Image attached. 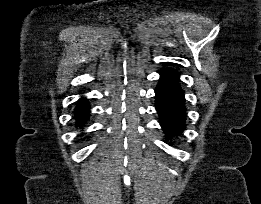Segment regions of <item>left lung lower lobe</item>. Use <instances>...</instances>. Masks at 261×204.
Returning <instances> with one entry per match:
<instances>
[{
    "instance_id": "1",
    "label": "left lung lower lobe",
    "mask_w": 261,
    "mask_h": 204,
    "mask_svg": "<svg viewBox=\"0 0 261 204\" xmlns=\"http://www.w3.org/2000/svg\"><path fill=\"white\" fill-rule=\"evenodd\" d=\"M155 89V106L160 125L168 138L181 135L185 129L186 107L184 91L175 70L163 69Z\"/></svg>"
}]
</instances>
